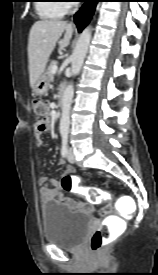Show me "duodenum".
Segmentation results:
<instances>
[{"instance_id": "1", "label": "duodenum", "mask_w": 158, "mask_h": 275, "mask_svg": "<svg viewBox=\"0 0 158 275\" xmlns=\"http://www.w3.org/2000/svg\"><path fill=\"white\" fill-rule=\"evenodd\" d=\"M64 95H65V89L62 88L59 94V99H58V106L61 107L64 103Z\"/></svg>"}]
</instances>
